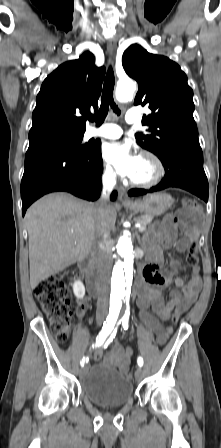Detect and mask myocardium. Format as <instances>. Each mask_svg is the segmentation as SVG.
Segmentation results:
<instances>
[{
  "label": "myocardium",
  "instance_id": "f54148a6",
  "mask_svg": "<svg viewBox=\"0 0 221 448\" xmlns=\"http://www.w3.org/2000/svg\"><path fill=\"white\" fill-rule=\"evenodd\" d=\"M141 158L148 160L153 167V175L147 179H133L131 178V184L138 187H153L160 183L166 174V167L161 158L151 151H143Z\"/></svg>",
  "mask_w": 221,
  "mask_h": 448
}]
</instances>
